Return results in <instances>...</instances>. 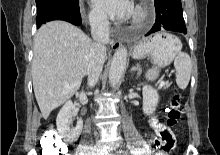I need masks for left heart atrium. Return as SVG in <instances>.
I'll use <instances>...</instances> for the list:
<instances>
[{
	"label": "left heart atrium",
	"instance_id": "1",
	"mask_svg": "<svg viewBox=\"0 0 220 155\" xmlns=\"http://www.w3.org/2000/svg\"><path fill=\"white\" fill-rule=\"evenodd\" d=\"M94 5L112 18L126 19L134 13L131 0H92Z\"/></svg>",
	"mask_w": 220,
	"mask_h": 155
}]
</instances>
